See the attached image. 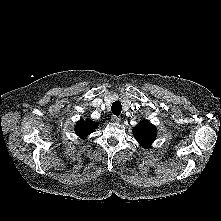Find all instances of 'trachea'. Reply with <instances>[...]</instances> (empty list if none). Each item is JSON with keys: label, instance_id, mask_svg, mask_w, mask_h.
Returning <instances> with one entry per match:
<instances>
[{"label": "trachea", "instance_id": "obj_1", "mask_svg": "<svg viewBox=\"0 0 221 221\" xmlns=\"http://www.w3.org/2000/svg\"><path fill=\"white\" fill-rule=\"evenodd\" d=\"M112 113L116 116L120 115L122 111V105L119 101H115L111 106Z\"/></svg>", "mask_w": 221, "mask_h": 221}]
</instances>
